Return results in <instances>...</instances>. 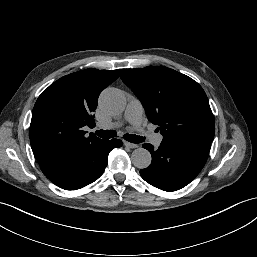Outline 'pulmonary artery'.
<instances>
[{
  "mask_svg": "<svg viewBox=\"0 0 257 257\" xmlns=\"http://www.w3.org/2000/svg\"><path fill=\"white\" fill-rule=\"evenodd\" d=\"M142 115L143 106L137 99H131L124 112V121L131 124L134 130L142 131ZM121 123L115 122L105 126L106 128H116L119 127ZM163 136L161 134H154L151 136V142L158 146L161 144Z\"/></svg>",
  "mask_w": 257,
  "mask_h": 257,
  "instance_id": "obj_1",
  "label": "pulmonary artery"
}]
</instances>
